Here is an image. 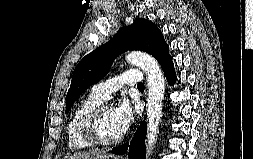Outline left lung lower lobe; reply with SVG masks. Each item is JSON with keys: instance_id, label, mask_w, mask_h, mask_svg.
I'll return each mask as SVG.
<instances>
[{"instance_id": "1", "label": "left lung lower lobe", "mask_w": 253, "mask_h": 159, "mask_svg": "<svg viewBox=\"0 0 253 159\" xmlns=\"http://www.w3.org/2000/svg\"><path fill=\"white\" fill-rule=\"evenodd\" d=\"M161 67L165 73L168 83L170 85H173L176 81V74L172 58H168ZM145 138L146 123L142 122L130 144L127 143L122 146L113 148L112 151L119 155L125 154L126 151H128L129 159H145Z\"/></svg>"}]
</instances>
